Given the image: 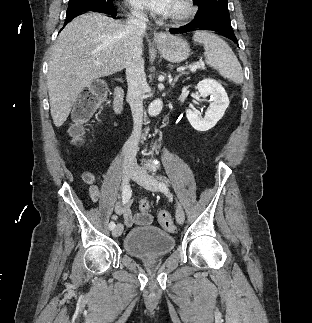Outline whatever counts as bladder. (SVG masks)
Segmentation results:
<instances>
[{"instance_id": "bladder-1", "label": "bladder", "mask_w": 312, "mask_h": 323, "mask_svg": "<svg viewBox=\"0 0 312 323\" xmlns=\"http://www.w3.org/2000/svg\"><path fill=\"white\" fill-rule=\"evenodd\" d=\"M175 239L155 226L130 229L124 238V249L132 257L156 259L173 250Z\"/></svg>"}]
</instances>
